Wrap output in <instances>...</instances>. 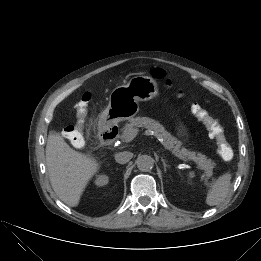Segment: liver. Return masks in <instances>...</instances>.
<instances>
[{
    "mask_svg": "<svg viewBox=\"0 0 261 261\" xmlns=\"http://www.w3.org/2000/svg\"><path fill=\"white\" fill-rule=\"evenodd\" d=\"M46 165L53 190L71 207L79 204L85 187L99 169L96 159L73 150L59 134L48 136Z\"/></svg>",
    "mask_w": 261,
    "mask_h": 261,
    "instance_id": "1",
    "label": "liver"
}]
</instances>
